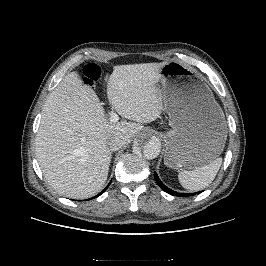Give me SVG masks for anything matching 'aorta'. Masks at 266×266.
<instances>
[{"label": "aorta", "instance_id": "762f6f07", "mask_svg": "<svg viewBox=\"0 0 266 266\" xmlns=\"http://www.w3.org/2000/svg\"><path fill=\"white\" fill-rule=\"evenodd\" d=\"M134 149L141 151L147 159H155L161 151V141L150 133H144L138 138Z\"/></svg>", "mask_w": 266, "mask_h": 266}]
</instances>
